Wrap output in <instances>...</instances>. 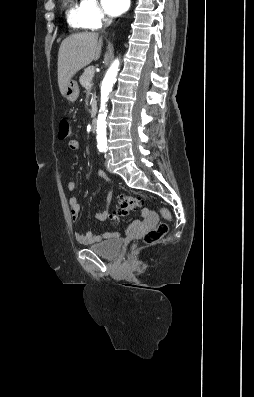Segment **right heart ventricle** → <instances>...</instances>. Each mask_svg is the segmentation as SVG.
I'll use <instances>...</instances> for the list:
<instances>
[{
  "mask_svg": "<svg viewBox=\"0 0 254 397\" xmlns=\"http://www.w3.org/2000/svg\"><path fill=\"white\" fill-rule=\"evenodd\" d=\"M66 18L68 25L72 29L82 30L87 28L81 16L80 4L76 3L74 0H68Z\"/></svg>",
  "mask_w": 254,
  "mask_h": 397,
  "instance_id": "obj_1",
  "label": "right heart ventricle"
}]
</instances>
